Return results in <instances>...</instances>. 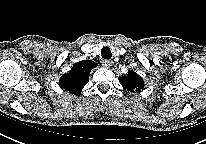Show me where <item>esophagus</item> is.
I'll return each instance as SVG.
<instances>
[{"label": "esophagus", "instance_id": "34e87169", "mask_svg": "<svg viewBox=\"0 0 206 144\" xmlns=\"http://www.w3.org/2000/svg\"><path fill=\"white\" fill-rule=\"evenodd\" d=\"M102 63H103V66L106 68H110L112 65V61L110 60H104Z\"/></svg>", "mask_w": 206, "mask_h": 144}]
</instances>
